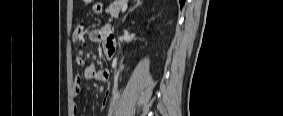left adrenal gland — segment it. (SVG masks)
I'll return each mask as SVG.
<instances>
[{
	"label": "left adrenal gland",
	"instance_id": "left-adrenal-gland-1",
	"mask_svg": "<svg viewBox=\"0 0 283 116\" xmlns=\"http://www.w3.org/2000/svg\"><path fill=\"white\" fill-rule=\"evenodd\" d=\"M142 4V1L138 0L136 5H134V7L130 10V12L134 11L138 6H140ZM127 18V14L124 16L123 18V22L125 21V19Z\"/></svg>",
	"mask_w": 283,
	"mask_h": 116
}]
</instances>
